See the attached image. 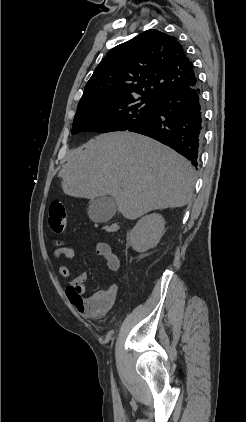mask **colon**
Wrapping results in <instances>:
<instances>
[{"label":"colon","instance_id":"1","mask_svg":"<svg viewBox=\"0 0 246 422\" xmlns=\"http://www.w3.org/2000/svg\"><path fill=\"white\" fill-rule=\"evenodd\" d=\"M68 223V217L65 209V205L55 200L50 204L49 207V225L55 233H62ZM106 232H116L118 227L116 225L106 226L104 228Z\"/></svg>","mask_w":246,"mask_h":422}]
</instances>
